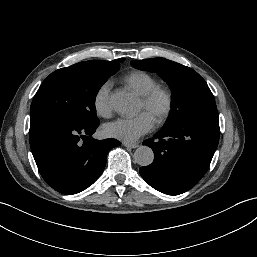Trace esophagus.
Listing matches in <instances>:
<instances>
[{
	"instance_id": "1",
	"label": "esophagus",
	"mask_w": 257,
	"mask_h": 257,
	"mask_svg": "<svg viewBox=\"0 0 257 257\" xmlns=\"http://www.w3.org/2000/svg\"><path fill=\"white\" fill-rule=\"evenodd\" d=\"M123 145L127 148H131V149H135L139 146L138 143H127V142H124Z\"/></svg>"
}]
</instances>
